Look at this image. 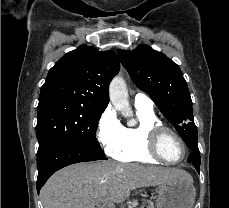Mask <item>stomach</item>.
<instances>
[{"label":"stomach","mask_w":229,"mask_h":208,"mask_svg":"<svg viewBox=\"0 0 229 208\" xmlns=\"http://www.w3.org/2000/svg\"><path fill=\"white\" fill-rule=\"evenodd\" d=\"M157 208H192L196 190L193 180H167L157 192Z\"/></svg>","instance_id":"obj_1"}]
</instances>
